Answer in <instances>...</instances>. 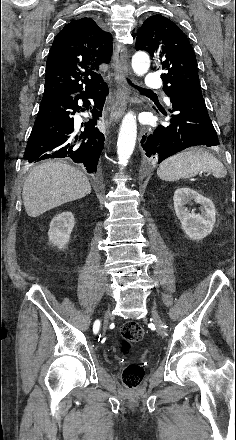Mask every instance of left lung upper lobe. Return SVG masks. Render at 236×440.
I'll use <instances>...</instances> for the list:
<instances>
[{
    "instance_id": "obj_1",
    "label": "left lung upper lobe",
    "mask_w": 236,
    "mask_h": 440,
    "mask_svg": "<svg viewBox=\"0 0 236 440\" xmlns=\"http://www.w3.org/2000/svg\"><path fill=\"white\" fill-rule=\"evenodd\" d=\"M136 50H145L164 71L163 90L170 96L188 85H200L194 50L187 36L171 20L153 15L144 21L136 38Z\"/></svg>"
}]
</instances>
